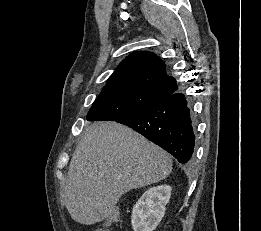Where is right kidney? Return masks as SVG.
Instances as JSON below:
<instances>
[{
  "label": "right kidney",
  "instance_id": "ca27d5eb",
  "mask_svg": "<svg viewBox=\"0 0 261 231\" xmlns=\"http://www.w3.org/2000/svg\"><path fill=\"white\" fill-rule=\"evenodd\" d=\"M172 188L160 185L148 189L133 207L131 224L134 231H153L162 220Z\"/></svg>",
  "mask_w": 261,
  "mask_h": 231
}]
</instances>
